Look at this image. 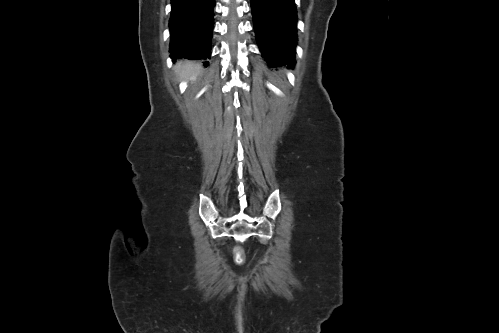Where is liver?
<instances>
[{
  "label": "liver",
  "instance_id": "obj_1",
  "mask_svg": "<svg viewBox=\"0 0 499 333\" xmlns=\"http://www.w3.org/2000/svg\"><path fill=\"white\" fill-rule=\"evenodd\" d=\"M201 65L193 61H180L176 64V72L181 79L191 78L195 80L201 72Z\"/></svg>",
  "mask_w": 499,
  "mask_h": 333
}]
</instances>
